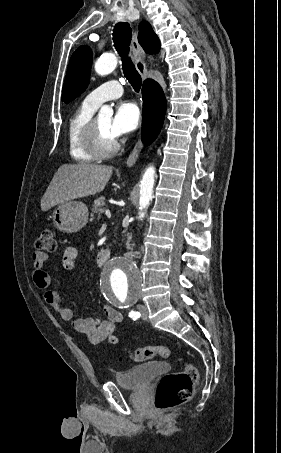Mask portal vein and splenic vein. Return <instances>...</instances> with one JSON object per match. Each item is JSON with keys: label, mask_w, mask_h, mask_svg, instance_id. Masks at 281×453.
Listing matches in <instances>:
<instances>
[{"label": "portal vein and splenic vein", "mask_w": 281, "mask_h": 453, "mask_svg": "<svg viewBox=\"0 0 281 453\" xmlns=\"http://www.w3.org/2000/svg\"><path fill=\"white\" fill-rule=\"evenodd\" d=\"M105 214H107L108 218H110L111 212H110L109 208H107V210H105Z\"/></svg>", "instance_id": "18ae733b"}]
</instances>
